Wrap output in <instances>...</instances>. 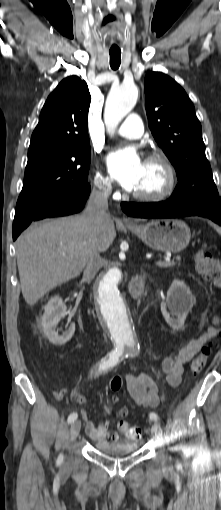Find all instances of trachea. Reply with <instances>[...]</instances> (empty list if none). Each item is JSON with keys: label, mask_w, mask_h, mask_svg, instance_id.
<instances>
[{"label": "trachea", "mask_w": 221, "mask_h": 510, "mask_svg": "<svg viewBox=\"0 0 221 510\" xmlns=\"http://www.w3.org/2000/svg\"><path fill=\"white\" fill-rule=\"evenodd\" d=\"M110 55V66L113 70H117L121 64V53L120 52H109Z\"/></svg>", "instance_id": "trachea-1"}]
</instances>
